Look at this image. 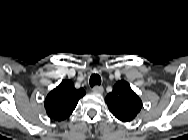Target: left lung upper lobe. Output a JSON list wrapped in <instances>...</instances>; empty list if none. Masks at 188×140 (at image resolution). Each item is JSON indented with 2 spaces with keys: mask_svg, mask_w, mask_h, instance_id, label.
<instances>
[{
  "mask_svg": "<svg viewBox=\"0 0 188 140\" xmlns=\"http://www.w3.org/2000/svg\"><path fill=\"white\" fill-rule=\"evenodd\" d=\"M105 102L110 112L120 121H132L142 108V101L126 81H118Z\"/></svg>",
  "mask_w": 188,
  "mask_h": 140,
  "instance_id": "left-lung-upper-lobe-1",
  "label": "left lung upper lobe"
}]
</instances>
